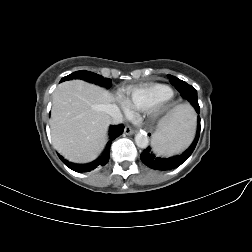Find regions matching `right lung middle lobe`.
Wrapping results in <instances>:
<instances>
[{
  "label": "right lung middle lobe",
  "instance_id": "right-lung-middle-lobe-1",
  "mask_svg": "<svg viewBox=\"0 0 252 252\" xmlns=\"http://www.w3.org/2000/svg\"><path fill=\"white\" fill-rule=\"evenodd\" d=\"M72 79H81L87 82H91L106 88H110L111 81L110 79L103 78L101 75H98L93 72H89L86 70L76 71L74 73H71L68 76H65L61 79L60 82L66 81V80H72Z\"/></svg>",
  "mask_w": 252,
  "mask_h": 252
}]
</instances>
